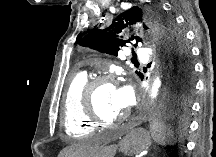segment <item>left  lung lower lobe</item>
Masks as SVG:
<instances>
[{
	"mask_svg": "<svg viewBox=\"0 0 216 157\" xmlns=\"http://www.w3.org/2000/svg\"><path fill=\"white\" fill-rule=\"evenodd\" d=\"M193 78V75H192ZM194 91V81L186 85L178 83L172 75L167 88V104L161 118L170 121L174 130L183 133L186 128V116L190 108V99Z\"/></svg>",
	"mask_w": 216,
	"mask_h": 157,
	"instance_id": "1",
	"label": "left lung lower lobe"
}]
</instances>
